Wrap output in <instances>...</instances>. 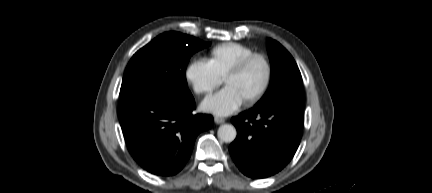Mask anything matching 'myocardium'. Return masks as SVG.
<instances>
[{
    "label": "myocardium",
    "mask_w": 432,
    "mask_h": 193,
    "mask_svg": "<svg viewBox=\"0 0 432 193\" xmlns=\"http://www.w3.org/2000/svg\"><path fill=\"white\" fill-rule=\"evenodd\" d=\"M260 60L263 62L266 75L264 79V83L261 89L254 94L253 96L246 98V105H254L259 102L267 93L270 88L272 78H273V67L269 57L265 53H253L249 55L241 64H239L236 68L229 72L226 76V82H229L231 79L240 76L243 72H245L255 61Z\"/></svg>",
    "instance_id": "1"
}]
</instances>
